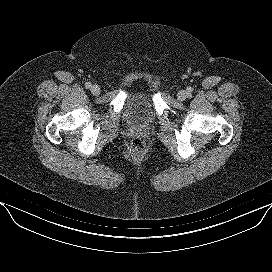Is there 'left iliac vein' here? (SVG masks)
Instances as JSON below:
<instances>
[{"label": "left iliac vein", "mask_w": 272, "mask_h": 272, "mask_svg": "<svg viewBox=\"0 0 272 272\" xmlns=\"http://www.w3.org/2000/svg\"><path fill=\"white\" fill-rule=\"evenodd\" d=\"M188 96V93L186 90H180L177 94V97L180 101H184Z\"/></svg>", "instance_id": "1"}]
</instances>
